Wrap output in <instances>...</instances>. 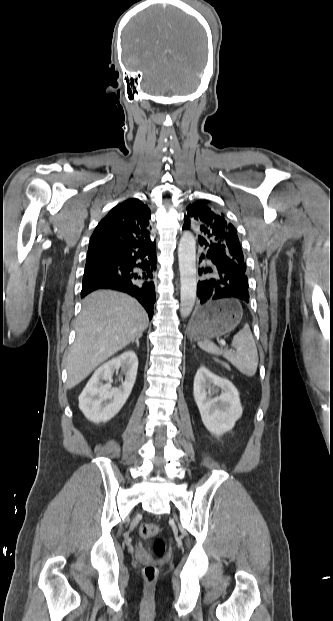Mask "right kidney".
<instances>
[{
    "label": "right kidney",
    "mask_w": 333,
    "mask_h": 621,
    "mask_svg": "<svg viewBox=\"0 0 333 621\" xmlns=\"http://www.w3.org/2000/svg\"><path fill=\"white\" fill-rule=\"evenodd\" d=\"M122 368L125 380L119 387H112L115 370ZM138 358L127 350L100 366L79 396V408L85 417L95 423L108 421L123 407L134 386ZM103 381H107L106 384Z\"/></svg>",
    "instance_id": "obj_1"
}]
</instances>
